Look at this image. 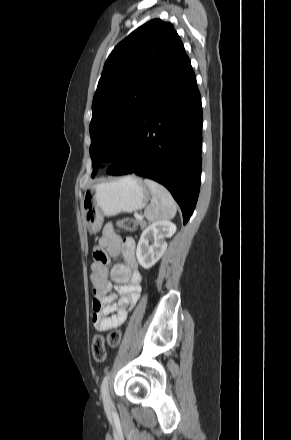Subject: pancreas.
Returning <instances> with one entry per match:
<instances>
[{
    "label": "pancreas",
    "instance_id": "cf45deb5",
    "mask_svg": "<svg viewBox=\"0 0 291 440\" xmlns=\"http://www.w3.org/2000/svg\"><path fill=\"white\" fill-rule=\"evenodd\" d=\"M136 223H137V225H139L141 228H144V227H146V225H147V222H146L145 220H143V219H137V220H136Z\"/></svg>",
    "mask_w": 291,
    "mask_h": 440
}]
</instances>
